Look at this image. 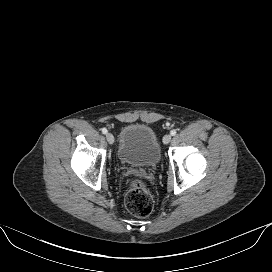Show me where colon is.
<instances>
[{"mask_svg": "<svg viewBox=\"0 0 272 272\" xmlns=\"http://www.w3.org/2000/svg\"><path fill=\"white\" fill-rule=\"evenodd\" d=\"M125 205L137 217H147L153 209V198L147 185L139 178L128 181Z\"/></svg>", "mask_w": 272, "mask_h": 272, "instance_id": "obj_1", "label": "colon"}]
</instances>
